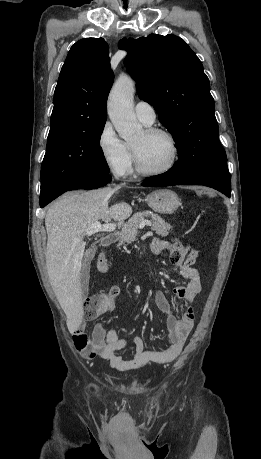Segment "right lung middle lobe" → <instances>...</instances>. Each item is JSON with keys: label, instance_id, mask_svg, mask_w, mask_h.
Wrapping results in <instances>:
<instances>
[{"label": "right lung middle lobe", "instance_id": "dd1d6c3e", "mask_svg": "<svg viewBox=\"0 0 261 459\" xmlns=\"http://www.w3.org/2000/svg\"><path fill=\"white\" fill-rule=\"evenodd\" d=\"M104 125L105 122L85 130L48 136L46 154L41 166L40 198H44L69 179L109 174L99 145Z\"/></svg>", "mask_w": 261, "mask_h": 459}]
</instances>
